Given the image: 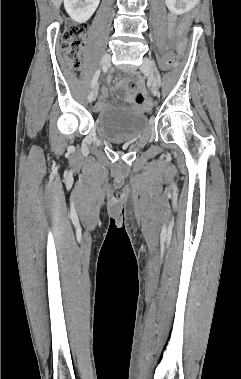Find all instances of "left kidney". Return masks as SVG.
<instances>
[{
	"label": "left kidney",
	"instance_id": "obj_1",
	"mask_svg": "<svg viewBox=\"0 0 241 379\" xmlns=\"http://www.w3.org/2000/svg\"><path fill=\"white\" fill-rule=\"evenodd\" d=\"M165 2L172 13L182 15L194 8L199 0H165Z\"/></svg>",
	"mask_w": 241,
	"mask_h": 379
}]
</instances>
